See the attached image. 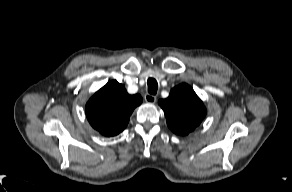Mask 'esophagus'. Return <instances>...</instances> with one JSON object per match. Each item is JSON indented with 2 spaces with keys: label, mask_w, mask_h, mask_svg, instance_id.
Wrapping results in <instances>:
<instances>
[{
  "label": "esophagus",
  "mask_w": 292,
  "mask_h": 192,
  "mask_svg": "<svg viewBox=\"0 0 292 192\" xmlns=\"http://www.w3.org/2000/svg\"><path fill=\"white\" fill-rule=\"evenodd\" d=\"M144 99H145V101L147 102V103H155L156 102V96H154V95H151V94H146L145 96H144Z\"/></svg>",
  "instance_id": "34e87169"
}]
</instances>
